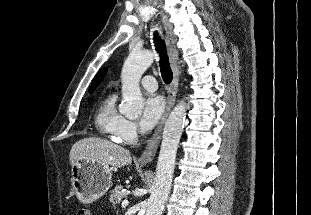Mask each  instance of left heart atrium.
I'll return each instance as SVG.
<instances>
[{
    "mask_svg": "<svg viewBox=\"0 0 311 215\" xmlns=\"http://www.w3.org/2000/svg\"><path fill=\"white\" fill-rule=\"evenodd\" d=\"M165 108V102L161 96L152 95L146 99L143 112L139 120L143 132L150 131L159 121Z\"/></svg>",
    "mask_w": 311,
    "mask_h": 215,
    "instance_id": "obj_1",
    "label": "left heart atrium"
}]
</instances>
